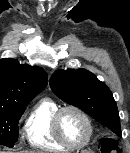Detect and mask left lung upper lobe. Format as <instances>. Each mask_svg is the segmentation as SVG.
<instances>
[{"instance_id":"5c2ea615","label":"left lung upper lobe","mask_w":130,"mask_h":153,"mask_svg":"<svg viewBox=\"0 0 130 153\" xmlns=\"http://www.w3.org/2000/svg\"><path fill=\"white\" fill-rule=\"evenodd\" d=\"M52 91L63 101L90 114L121 136L120 118L112 92L85 69L57 70L50 79Z\"/></svg>"}]
</instances>
